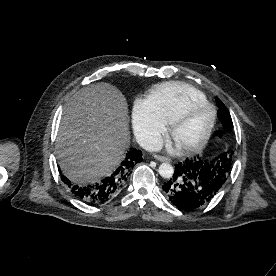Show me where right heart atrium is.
I'll return each mask as SVG.
<instances>
[{
  "mask_svg": "<svg viewBox=\"0 0 276 276\" xmlns=\"http://www.w3.org/2000/svg\"><path fill=\"white\" fill-rule=\"evenodd\" d=\"M133 125L137 138L147 148L157 147L166 132L167 125L152 110L145 100H138L134 106Z\"/></svg>",
  "mask_w": 276,
  "mask_h": 276,
  "instance_id": "d8ad5b80",
  "label": "right heart atrium"
}]
</instances>
